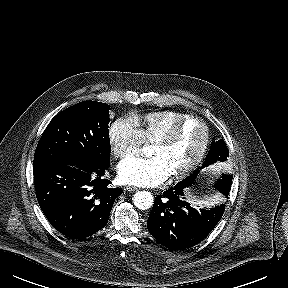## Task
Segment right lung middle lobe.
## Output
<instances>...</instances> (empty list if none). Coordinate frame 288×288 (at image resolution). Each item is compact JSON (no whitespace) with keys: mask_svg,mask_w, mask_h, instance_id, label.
<instances>
[{"mask_svg":"<svg viewBox=\"0 0 288 288\" xmlns=\"http://www.w3.org/2000/svg\"><path fill=\"white\" fill-rule=\"evenodd\" d=\"M109 106L83 101L59 113L37 145L33 165L78 164L93 169L110 162Z\"/></svg>","mask_w":288,"mask_h":288,"instance_id":"dd1d6c3e","label":"right lung middle lobe"}]
</instances>
